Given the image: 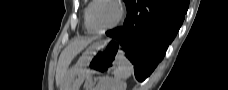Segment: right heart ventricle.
Returning <instances> with one entry per match:
<instances>
[{
  "mask_svg": "<svg viewBox=\"0 0 228 90\" xmlns=\"http://www.w3.org/2000/svg\"><path fill=\"white\" fill-rule=\"evenodd\" d=\"M90 3H91V2H90ZM90 3L87 4V6H86L85 9H84V27H85L86 32L89 33V34H91L92 31H91V30L88 28V26H87V23H86V13H87V10H88V8H89V6H90Z\"/></svg>",
  "mask_w": 228,
  "mask_h": 90,
  "instance_id": "right-heart-ventricle-1",
  "label": "right heart ventricle"
}]
</instances>
